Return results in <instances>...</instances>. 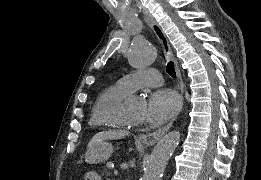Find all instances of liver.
<instances>
[{"label":"liver","mask_w":261,"mask_h":180,"mask_svg":"<svg viewBox=\"0 0 261 180\" xmlns=\"http://www.w3.org/2000/svg\"><path fill=\"white\" fill-rule=\"evenodd\" d=\"M129 132L127 130H108V132H98L93 138H91L88 148H93L96 144L100 142H105V140H122L124 136H128Z\"/></svg>","instance_id":"liver-1"}]
</instances>
